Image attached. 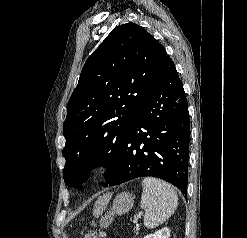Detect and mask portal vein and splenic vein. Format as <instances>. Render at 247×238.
Listing matches in <instances>:
<instances>
[{
  "mask_svg": "<svg viewBox=\"0 0 247 238\" xmlns=\"http://www.w3.org/2000/svg\"><path fill=\"white\" fill-rule=\"evenodd\" d=\"M140 217H141V216H140V215H138V216H137V217H135V218L137 219V218H140Z\"/></svg>",
  "mask_w": 247,
  "mask_h": 238,
  "instance_id": "obj_1",
  "label": "portal vein and splenic vein"
}]
</instances>
